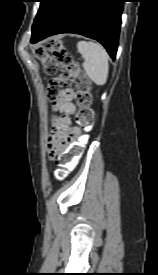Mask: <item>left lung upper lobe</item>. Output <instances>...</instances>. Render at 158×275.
Masks as SVG:
<instances>
[{
  "label": "left lung upper lobe",
  "mask_w": 158,
  "mask_h": 275,
  "mask_svg": "<svg viewBox=\"0 0 158 275\" xmlns=\"http://www.w3.org/2000/svg\"><path fill=\"white\" fill-rule=\"evenodd\" d=\"M54 0H40V8L37 13V16L34 20L33 27H32V32L38 28L44 21L46 11L49 8V6L52 4Z\"/></svg>",
  "instance_id": "5c2ea615"
}]
</instances>
